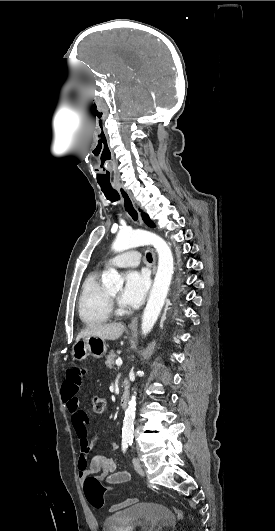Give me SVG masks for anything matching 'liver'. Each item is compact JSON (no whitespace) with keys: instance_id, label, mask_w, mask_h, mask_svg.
Returning a JSON list of instances; mask_svg holds the SVG:
<instances>
[{"instance_id":"obj_1","label":"liver","mask_w":275,"mask_h":531,"mask_svg":"<svg viewBox=\"0 0 275 531\" xmlns=\"http://www.w3.org/2000/svg\"><path fill=\"white\" fill-rule=\"evenodd\" d=\"M124 325L122 323H109V325H102V323H95V325H88L87 329H83L79 333L78 339H85V337H101L107 341H116L124 333Z\"/></svg>"}]
</instances>
